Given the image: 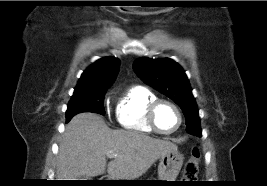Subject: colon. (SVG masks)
Here are the masks:
<instances>
[{"mask_svg":"<svg viewBox=\"0 0 267 186\" xmlns=\"http://www.w3.org/2000/svg\"><path fill=\"white\" fill-rule=\"evenodd\" d=\"M200 150L198 147H193L190 157L185 162L183 179L185 182H194L198 174L199 162H200Z\"/></svg>","mask_w":267,"mask_h":186,"instance_id":"obj_1","label":"colon"}]
</instances>
